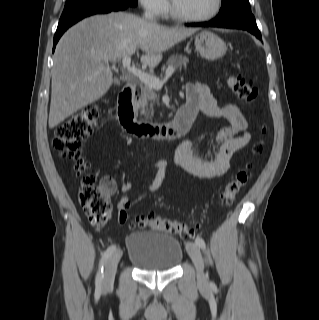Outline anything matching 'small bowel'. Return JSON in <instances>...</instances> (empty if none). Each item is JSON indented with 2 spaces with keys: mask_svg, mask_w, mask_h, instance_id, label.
I'll list each match as a JSON object with an SVG mask.
<instances>
[{
  "mask_svg": "<svg viewBox=\"0 0 319 320\" xmlns=\"http://www.w3.org/2000/svg\"><path fill=\"white\" fill-rule=\"evenodd\" d=\"M188 108L202 111L211 118H224L229 125L221 128L215 137V147L207 152L201 151L190 140L180 141L174 150L175 163L196 178H216L225 174L229 168L231 157L250 142L251 136L247 130V121L238 106L228 104L219 106L211 93L210 88L202 83L188 84L186 86V102ZM152 166L158 172L149 187L150 192L160 189L168 164L164 161H156ZM132 183L123 177L120 180L119 188L122 192L132 189ZM129 200L122 197L117 203L118 213L127 211Z\"/></svg>",
  "mask_w": 319,
  "mask_h": 320,
  "instance_id": "1",
  "label": "small bowel"
}]
</instances>
